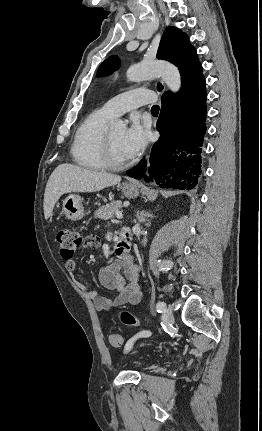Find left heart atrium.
Returning <instances> with one entry per match:
<instances>
[{
  "instance_id": "39dd6f15",
  "label": "left heart atrium",
  "mask_w": 262,
  "mask_h": 431,
  "mask_svg": "<svg viewBox=\"0 0 262 431\" xmlns=\"http://www.w3.org/2000/svg\"><path fill=\"white\" fill-rule=\"evenodd\" d=\"M147 142V129L137 119H133L122 137L121 150L128 159H132L142 153Z\"/></svg>"
}]
</instances>
